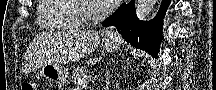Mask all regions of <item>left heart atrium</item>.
<instances>
[{
	"label": "left heart atrium",
	"instance_id": "1",
	"mask_svg": "<svg viewBox=\"0 0 216 90\" xmlns=\"http://www.w3.org/2000/svg\"><path fill=\"white\" fill-rule=\"evenodd\" d=\"M103 10H114L115 7H119V3H123V0H97Z\"/></svg>",
	"mask_w": 216,
	"mask_h": 90
}]
</instances>
